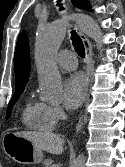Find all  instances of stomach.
I'll list each match as a JSON object with an SVG mask.
<instances>
[{"label": "stomach", "mask_w": 125, "mask_h": 167, "mask_svg": "<svg viewBox=\"0 0 125 167\" xmlns=\"http://www.w3.org/2000/svg\"><path fill=\"white\" fill-rule=\"evenodd\" d=\"M5 137H7V141L3 144L4 151L14 161L24 164H38L42 162V151L31 141L17 136L15 133H7Z\"/></svg>", "instance_id": "stomach-1"}]
</instances>
